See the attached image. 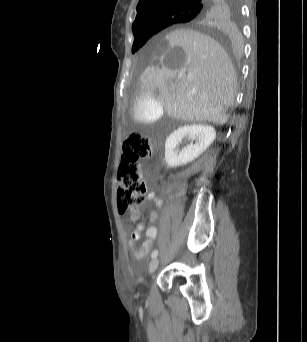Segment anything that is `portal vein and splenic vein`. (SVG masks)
I'll return each mask as SVG.
<instances>
[{
	"instance_id": "obj_1",
	"label": "portal vein and splenic vein",
	"mask_w": 307,
	"mask_h": 342,
	"mask_svg": "<svg viewBox=\"0 0 307 342\" xmlns=\"http://www.w3.org/2000/svg\"><path fill=\"white\" fill-rule=\"evenodd\" d=\"M192 74H188V78H191ZM172 88H175L176 84H171Z\"/></svg>"
}]
</instances>
